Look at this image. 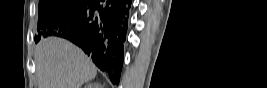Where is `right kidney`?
Listing matches in <instances>:
<instances>
[{
    "instance_id": "ca27d5eb",
    "label": "right kidney",
    "mask_w": 267,
    "mask_h": 88,
    "mask_svg": "<svg viewBox=\"0 0 267 88\" xmlns=\"http://www.w3.org/2000/svg\"><path fill=\"white\" fill-rule=\"evenodd\" d=\"M85 88H103V87L97 82H91L85 85Z\"/></svg>"
}]
</instances>
